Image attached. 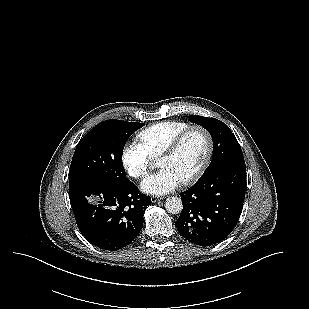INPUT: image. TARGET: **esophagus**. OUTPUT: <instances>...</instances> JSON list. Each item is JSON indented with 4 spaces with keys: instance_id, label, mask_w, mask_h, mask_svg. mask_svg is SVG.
Masks as SVG:
<instances>
[{
    "instance_id": "esophagus-1",
    "label": "esophagus",
    "mask_w": 309,
    "mask_h": 309,
    "mask_svg": "<svg viewBox=\"0 0 309 309\" xmlns=\"http://www.w3.org/2000/svg\"><path fill=\"white\" fill-rule=\"evenodd\" d=\"M161 199H163V197L152 196V197H151V202H152V203H155V202H157V201H159V200H161Z\"/></svg>"
}]
</instances>
